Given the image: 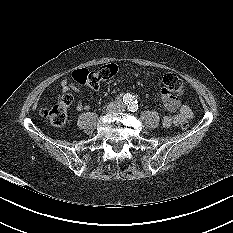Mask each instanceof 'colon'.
Segmentation results:
<instances>
[{
  "instance_id": "1",
  "label": "colon",
  "mask_w": 233,
  "mask_h": 233,
  "mask_svg": "<svg viewBox=\"0 0 233 233\" xmlns=\"http://www.w3.org/2000/svg\"><path fill=\"white\" fill-rule=\"evenodd\" d=\"M118 68L115 64H105L96 70L78 69L73 72L72 77L80 85L96 89L104 81L111 80L116 76ZM163 90L172 96L181 95L184 92L182 79L174 73H164L162 75ZM71 99L67 95L59 98L58 102L51 106L41 109L43 118L49 121L54 127H63L68 118V107ZM187 121L181 124L182 129H187Z\"/></svg>"
}]
</instances>
